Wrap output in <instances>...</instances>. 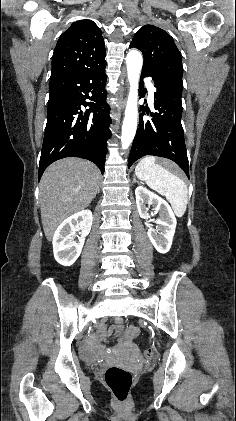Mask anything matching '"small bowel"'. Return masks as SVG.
Returning <instances> with one entry per match:
<instances>
[{
    "instance_id": "obj_1",
    "label": "small bowel",
    "mask_w": 236,
    "mask_h": 421,
    "mask_svg": "<svg viewBox=\"0 0 236 421\" xmlns=\"http://www.w3.org/2000/svg\"><path fill=\"white\" fill-rule=\"evenodd\" d=\"M130 331H131V332H134V331H135V328H134V327H131V328H130ZM93 343H94V342H93ZM94 344L96 345V343H94Z\"/></svg>"
}]
</instances>
